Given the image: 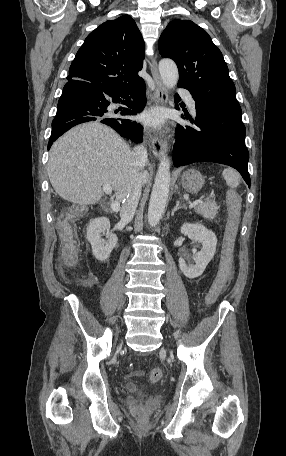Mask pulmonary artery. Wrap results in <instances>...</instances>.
<instances>
[{
    "mask_svg": "<svg viewBox=\"0 0 286 456\" xmlns=\"http://www.w3.org/2000/svg\"><path fill=\"white\" fill-rule=\"evenodd\" d=\"M178 93L186 99L187 104H188L190 110H191L193 113H195V104H194V100L192 99L190 93H189L187 90H184V89H180V90L178 91Z\"/></svg>",
    "mask_w": 286,
    "mask_h": 456,
    "instance_id": "pulmonary-artery-1",
    "label": "pulmonary artery"
}]
</instances>
